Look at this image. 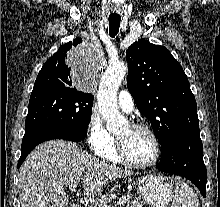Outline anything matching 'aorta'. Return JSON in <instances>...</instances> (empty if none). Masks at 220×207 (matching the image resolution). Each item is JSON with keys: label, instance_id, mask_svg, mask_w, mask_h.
<instances>
[{"label": "aorta", "instance_id": "1", "mask_svg": "<svg viewBox=\"0 0 220 207\" xmlns=\"http://www.w3.org/2000/svg\"><path fill=\"white\" fill-rule=\"evenodd\" d=\"M127 73L123 62L111 63L101 77L97 93L99 112L106 121L108 131L114 132L127 120L121 116L117 105V92Z\"/></svg>", "mask_w": 220, "mask_h": 207}]
</instances>
